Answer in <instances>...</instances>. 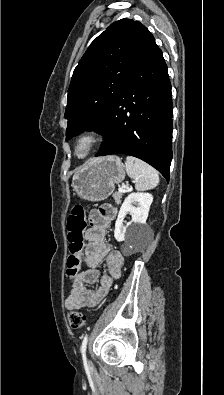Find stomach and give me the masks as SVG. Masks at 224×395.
Instances as JSON below:
<instances>
[{
	"mask_svg": "<svg viewBox=\"0 0 224 395\" xmlns=\"http://www.w3.org/2000/svg\"><path fill=\"white\" fill-rule=\"evenodd\" d=\"M125 178V167L117 156L94 158L87 161L72 178L73 191L87 201L108 198L115 185Z\"/></svg>",
	"mask_w": 224,
	"mask_h": 395,
	"instance_id": "stomach-1",
	"label": "stomach"
}]
</instances>
